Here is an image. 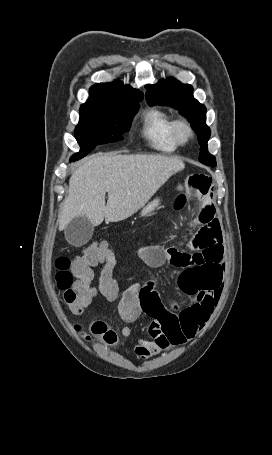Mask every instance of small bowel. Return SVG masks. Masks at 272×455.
Returning a JSON list of instances; mask_svg holds the SVG:
<instances>
[{
  "label": "small bowel",
  "mask_w": 272,
  "mask_h": 455,
  "mask_svg": "<svg viewBox=\"0 0 272 455\" xmlns=\"http://www.w3.org/2000/svg\"><path fill=\"white\" fill-rule=\"evenodd\" d=\"M212 180L204 173L184 177L179 188L188 198L203 200L211 193ZM197 232L192 239L193 252L161 245L146 246L140 257L150 267L167 264L180 270L178 286L190 304L181 310L167 308L154 283L143 287L132 286L119 302V314L127 323L121 333H132L130 324L139 317H147L149 339H139L134 353L141 359L150 358L170 347L193 339L210 318L220 298L224 273V246L220 223L207 204H202L192 222Z\"/></svg>",
  "instance_id": "obj_1"
}]
</instances>
